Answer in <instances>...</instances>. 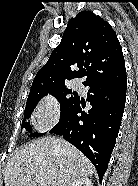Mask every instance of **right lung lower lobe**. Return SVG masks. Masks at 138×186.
<instances>
[{"mask_svg": "<svg viewBox=\"0 0 138 186\" xmlns=\"http://www.w3.org/2000/svg\"><path fill=\"white\" fill-rule=\"evenodd\" d=\"M85 85L90 87L87 101L92 108L82 111L83 101L79 98L49 132L63 136L78 148L96 167L101 182L121 125L127 79Z\"/></svg>", "mask_w": 138, "mask_h": 186, "instance_id": "right-lung-lower-lobe-1", "label": "right lung lower lobe"}]
</instances>
